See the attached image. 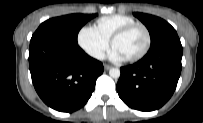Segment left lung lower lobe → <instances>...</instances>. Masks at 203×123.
<instances>
[{
    "label": "left lung lower lobe",
    "instance_id": "0a47b994",
    "mask_svg": "<svg viewBox=\"0 0 203 123\" xmlns=\"http://www.w3.org/2000/svg\"><path fill=\"white\" fill-rule=\"evenodd\" d=\"M182 45L168 43L149 51L133 65L120 68L117 92L130 108L153 111L174 93L181 73Z\"/></svg>",
    "mask_w": 203,
    "mask_h": 123
}]
</instances>
